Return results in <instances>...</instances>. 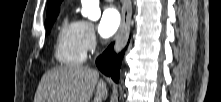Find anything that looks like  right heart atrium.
<instances>
[{
  "instance_id": "d8ad5b80",
  "label": "right heart atrium",
  "mask_w": 221,
  "mask_h": 102,
  "mask_svg": "<svg viewBox=\"0 0 221 102\" xmlns=\"http://www.w3.org/2000/svg\"><path fill=\"white\" fill-rule=\"evenodd\" d=\"M78 28L85 52L93 51L97 46V36L94 25L89 21L80 20L78 21Z\"/></svg>"
}]
</instances>
